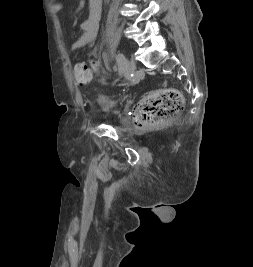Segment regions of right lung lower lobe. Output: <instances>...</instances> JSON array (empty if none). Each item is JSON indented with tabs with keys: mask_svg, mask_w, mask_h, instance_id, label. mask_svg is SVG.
<instances>
[{
	"mask_svg": "<svg viewBox=\"0 0 253 267\" xmlns=\"http://www.w3.org/2000/svg\"><path fill=\"white\" fill-rule=\"evenodd\" d=\"M151 215H153L151 212H148V213H147V216H151Z\"/></svg>",
	"mask_w": 253,
	"mask_h": 267,
	"instance_id": "right-lung-lower-lobe-1",
	"label": "right lung lower lobe"
}]
</instances>
